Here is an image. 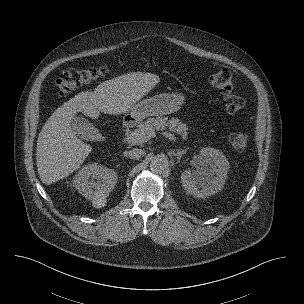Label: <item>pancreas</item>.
Instances as JSON below:
<instances>
[{
	"label": "pancreas",
	"mask_w": 304,
	"mask_h": 304,
	"mask_svg": "<svg viewBox=\"0 0 304 304\" xmlns=\"http://www.w3.org/2000/svg\"><path fill=\"white\" fill-rule=\"evenodd\" d=\"M166 128L172 132L180 134L183 139H187L188 137L187 124L182 123V121L177 118L168 119L165 117L148 118L145 122L140 123L137 126V129L130 133L129 136L134 134L133 137L136 140L135 144L142 145L151 138L150 135L152 133Z\"/></svg>",
	"instance_id": "1"
}]
</instances>
